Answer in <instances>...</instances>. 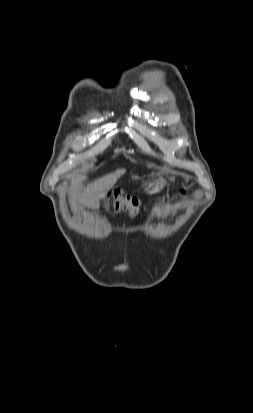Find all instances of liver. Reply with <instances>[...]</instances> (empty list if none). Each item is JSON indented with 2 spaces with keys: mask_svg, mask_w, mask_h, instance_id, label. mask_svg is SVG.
<instances>
[{
  "mask_svg": "<svg viewBox=\"0 0 253 413\" xmlns=\"http://www.w3.org/2000/svg\"><path fill=\"white\" fill-rule=\"evenodd\" d=\"M125 172V169H118L113 173L95 180L84 188L81 193H78L79 200L89 208H96L99 204V198L111 190Z\"/></svg>",
  "mask_w": 253,
  "mask_h": 413,
  "instance_id": "6515ba94",
  "label": "liver"
}]
</instances>
